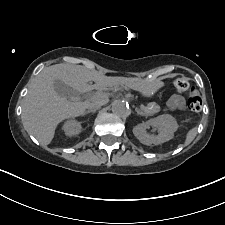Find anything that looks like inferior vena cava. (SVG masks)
I'll use <instances>...</instances> for the list:
<instances>
[{
  "label": "inferior vena cava",
  "instance_id": "1",
  "mask_svg": "<svg viewBox=\"0 0 225 225\" xmlns=\"http://www.w3.org/2000/svg\"><path fill=\"white\" fill-rule=\"evenodd\" d=\"M106 103H107L106 97L99 95V96H97V98L95 99L94 102H92L91 104L88 105V109L89 110H97Z\"/></svg>",
  "mask_w": 225,
  "mask_h": 225
}]
</instances>
